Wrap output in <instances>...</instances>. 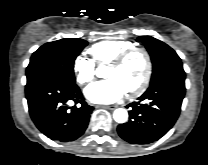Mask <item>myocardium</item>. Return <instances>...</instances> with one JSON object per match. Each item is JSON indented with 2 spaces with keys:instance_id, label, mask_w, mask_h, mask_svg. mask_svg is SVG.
<instances>
[{
  "instance_id": "1",
  "label": "myocardium",
  "mask_w": 208,
  "mask_h": 165,
  "mask_svg": "<svg viewBox=\"0 0 208 165\" xmlns=\"http://www.w3.org/2000/svg\"><path fill=\"white\" fill-rule=\"evenodd\" d=\"M135 53H141L144 56L146 65L145 73L141 82L136 87L127 92L128 97L138 96L147 89L151 80L153 70V64L150 53L143 47L133 46L119 53L108 63V65L112 67H120L131 55Z\"/></svg>"
}]
</instances>
